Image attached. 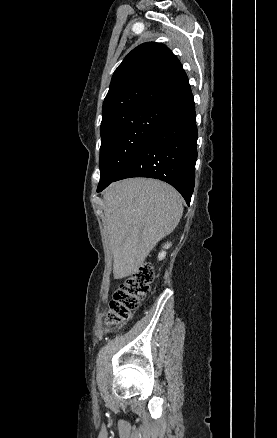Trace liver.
I'll use <instances>...</instances> for the list:
<instances>
[{
    "label": "liver",
    "instance_id": "1",
    "mask_svg": "<svg viewBox=\"0 0 277 438\" xmlns=\"http://www.w3.org/2000/svg\"><path fill=\"white\" fill-rule=\"evenodd\" d=\"M183 210L179 192L160 180L130 178L105 190L115 280L139 272L151 250L178 226Z\"/></svg>",
    "mask_w": 277,
    "mask_h": 438
}]
</instances>
